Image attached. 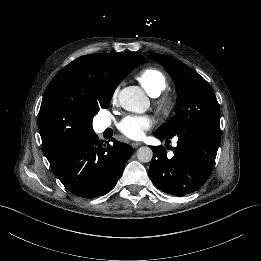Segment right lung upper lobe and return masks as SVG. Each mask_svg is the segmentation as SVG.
<instances>
[{"label":"right lung upper lobe","instance_id":"obj_1","mask_svg":"<svg viewBox=\"0 0 261 261\" xmlns=\"http://www.w3.org/2000/svg\"><path fill=\"white\" fill-rule=\"evenodd\" d=\"M136 53L90 54L62 68L49 83L38 115L42 147L49 162L68 149L95 135L92 119L96 101L105 93H114L124 74L126 62Z\"/></svg>","mask_w":261,"mask_h":261}]
</instances>
